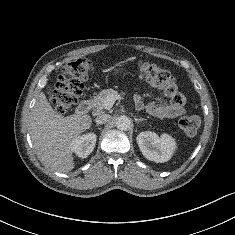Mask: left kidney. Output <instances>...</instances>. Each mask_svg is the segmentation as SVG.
Masks as SVG:
<instances>
[{"instance_id":"left-kidney-1","label":"left kidney","mask_w":235,"mask_h":235,"mask_svg":"<svg viewBox=\"0 0 235 235\" xmlns=\"http://www.w3.org/2000/svg\"><path fill=\"white\" fill-rule=\"evenodd\" d=\"M137 143L142 154L156 163L167 162L176 149V142L170 135L158 136L151 131L141 132L137 136Z\"/></svg>"}]
</instances>
